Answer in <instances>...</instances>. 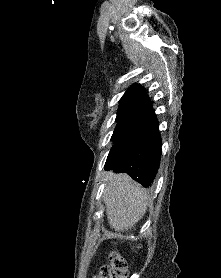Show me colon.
Segmentation results:
<instances>
[{
    "label": "colon",
    "instance_id": "obj_1",
    "mask_svg": "<svg viewBox=\"0 0 221 278\" xmlns=\"http://www.w3.org/2000/svg\"><path fill=\"white\" fill-rule=\"evenodd\" d=\"M110 264L101 268L95 278H127L128 271L124 259L113 251L109 254Z\"/></svg>",
    "mask_w": 221,
    "mask_h": 278
}]
</instances>
